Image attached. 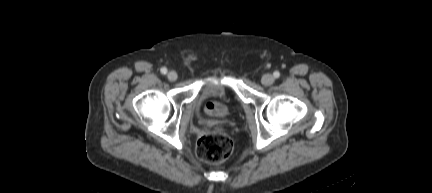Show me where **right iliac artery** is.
Wrapping results in <instances>:
<instances>
[{"mask_svg": "<svg viewBox=\"0 0 432 193\" xmlns=\"http://www.w3.org/2000/svg\"><path fill=\"white\" fill-rule=\"evenodd\" d=\"M161 73L162 74H166L167 73V69L165 67L161 68Z\"/></svg>", "mask_w": 432, "mask_h": 193, "instance_id": "1", "label": "right iliac artery"}]
</instances>
